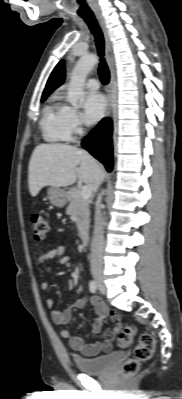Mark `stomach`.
<instances>
[{"mask_svg": "<svg viewBox=\"0 0 182 399\" xmlns=\"http://www.w3.org/2000/svg\"><path fill=\"white\" fill-rule=\"evenodd\" d=\"M47 194L51 204L56 207L62 208L68 201L67 192L60 187L51 186L48 189Z\"/></svg>", "mask_w": 182, "mask_h": 399, "instance_id": "stomach-1", "label": "stomach"}]
</instances>
